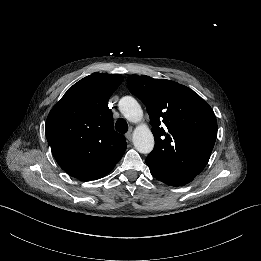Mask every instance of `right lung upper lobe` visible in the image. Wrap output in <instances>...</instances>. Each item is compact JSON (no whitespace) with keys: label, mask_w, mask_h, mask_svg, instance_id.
I'll use <instances>...</instances> for the list:
<instances>
[{"label":"right lung upper lobe","mask_w":261,"mask_h":261,"mask_svg":"<svg viewBox=\"0 0 261 261\" xmlns=\"http://www.w3.org/2000/svg\"><path fill=\"white\" fill-rule=\"evenodd\" d=\"M119 74L93 73L74 84L50 111L46 137L60 167L89 181L105 176L127 143L113 129L108 100L121 84Z\"/></svg>","instance_id":"obj_1"}]
</instances>
